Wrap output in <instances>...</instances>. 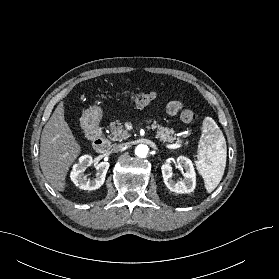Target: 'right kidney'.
<instances>
[{
	"instance_id": "ca27d5eb",
	"label": "right kidney",
	"mask_w": 279,
	"mask_h": 279,
	"mask_svg": "<svg viewBox=\"0 0 279 279\" xmlns=\"http://www.w3.org/2000/svg\"><path fill=\"white\" fill-rule=\"evenodd\" d=\"M93 163V158L91 155H84L79 158L78 163L73 166L70 174V178L73 183L82 190H96L100 188L104 182L107 170L110 166L108 162H100L96 165V176L95 179L90 180L84 175L87 167L91 166Z\"/></svg>"
}]
</instances>
